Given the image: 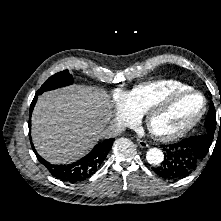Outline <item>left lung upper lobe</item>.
I'll use <instances>...</instances> for the list:
<instances>
[{
	"label": "left lung upper lobe",
	"mask_w": 221,
	"mask_h": 221,
	"mask_svg": "<svg viewBox=\"0 0 221 221\" xmlns=\"http://www.w3.org/2000/svg\"><path fill=\"white\" fill-rule=\"evenodd\" d=\"M204 126L206 129V132L203 135H199L196 137L198 139H200L202 142H206L205 145H208V147H207V153H208V150H209V148L212 144V141H213L215 130L217 128L216 112H215V108H214L213 103H211V105H210V110L208 112ZM219 129H221V124L219 126Z\"/></svg>",
	"instance_id": "obj_1"
}]
</instances>
